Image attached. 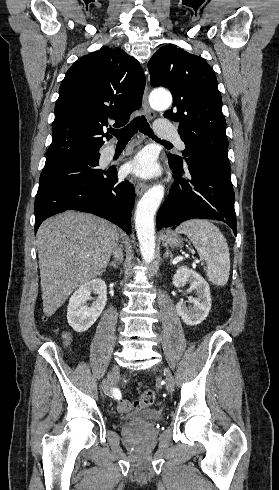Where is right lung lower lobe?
I'll use <instances>...</instances> for the list:
<instances>
[{"mask_svg": "<svg viewBox=\"0 0 279 490\" xmlns=\"http://www.w3.org/2000/svg\"><path fill=\"white\" fill-rule=\"evenodd\" d=\"M134 200L133 184L118 181L116 168L95 176L39 185L34 204L35 232L48 217L66 210H79L103 217L130 234Z\"/></svg>", "mask_w": 279, "mask_h": 490, "instance_id": "98d812e1", "label": "right lung lower lobe"}]
</instances>
